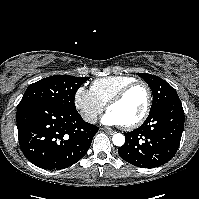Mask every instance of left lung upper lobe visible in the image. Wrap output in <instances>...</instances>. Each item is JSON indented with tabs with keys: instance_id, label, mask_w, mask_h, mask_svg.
Returning <instances> with one entry per match:
<instances>
[{
	"instance_id": "5c2ea615",
	"label": "left lung upper lobe",
	"mask_w": 199,
	"mask_h": 199,
	"mask_svg": "<svg viewBox=\"0 0 199 199\" xmlns=\"http://www.w3.org/2000/svg\"><path fill=\"white\" fill-rule=\"evenodd\" d=\"M138 75L148 83L152 90L153 101L150 111L168 102L180 100L176 90L163 79L151 74L138 73Z\"/></svg>"
}]
</instances>
